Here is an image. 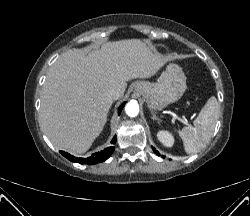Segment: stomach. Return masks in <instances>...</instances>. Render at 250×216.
Returning <instances> with one entry per match:
<instances>
[{
	"mask_svg": "<svg viewBox=\"0 0 250 216\" xmlns=\"http://www.w3.org/2000/svg\"><path fill=\"white\" fill-rule=\"evenodd\" d=\"M185 90L186 76L176 64H169L156 83L140 81L134 86V92L145 99L151 110H161L178 101Z\"/></svg>",
	"mask_w": 250,
	"mask_h": 216,
	"instance_id": "obj_1",
	"label": "stomach"
}]
</instances>
